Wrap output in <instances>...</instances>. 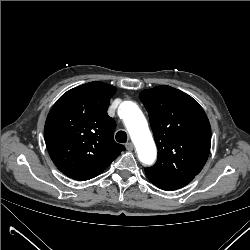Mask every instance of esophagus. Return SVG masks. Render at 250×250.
<instances>
[{
    "instance_id": "obj_1",
    "label": "esophagus",
    "mask_w": 250,
    "mask_h": 250,
    "mask_svg": "<svg viewBox=\"0 0 250 250\" xmlns=\"http://www.w3.org/2000/svg\"><path fill=\"white\" fill-rule=\"evenodd\" d=\"M125 146H126V149H127L128 151H132V150L134 149V145H133L132 142L126 143Z\"/></svg>"
}]
</instances>
